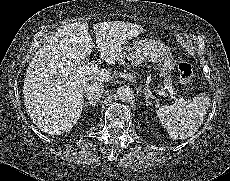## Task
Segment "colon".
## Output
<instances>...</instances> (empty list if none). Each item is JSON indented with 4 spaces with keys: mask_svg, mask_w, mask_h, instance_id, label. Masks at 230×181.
<instances>
[{
    "mask_svg": "<svg viewBox=\"0 0 230 181\" xmlns=\"http://www.w3.org/2000/svg\"><path fill=\"white\" fill-rule=\"evenodd\" d=\"M178 72L180 80L183 84H188L191 82V79L193 77V68L191 64L187 62H181L178 65Z\"/></svg>",
    "mask_w": 230,
    "mask_h": 181,
    "instance_id": "obj_1",
    "label": "colon"
}]
</instances>
